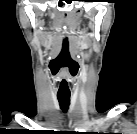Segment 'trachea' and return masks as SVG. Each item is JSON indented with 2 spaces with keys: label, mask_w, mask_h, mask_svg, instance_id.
Returning <instances> with one entry per match:
<instances>
[{
  "label": "trachea",
  "mask_w": 137,
  "mask_h": 134,
  "mask_svg": "<svg viewBox=\"0 0 137 134\" xmlns=\"http://www.w3.org/2000/svg\"><path fill=\"white\" fill-rule=\"evenodd\" d=\"M60 108L63 112H67L70 105V95H57Z\"/></svg>",
  "instance_id": "obj_1"
}]
</instances>
